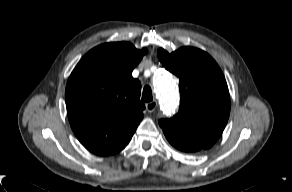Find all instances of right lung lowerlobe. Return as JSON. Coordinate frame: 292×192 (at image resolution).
<instances>
[{
  "instance_id": "1",
  "label": "right lung lower lobe",
  "mask_w": 292,
  "mask_h": 192,
  "mask_svg": "<svg viewBox=\"0 0 292 192\" xmlns=\"http://www.w3.org/2000/svg\"><path fill=\"white\" fill-rule=\"evenodd\" d=\"M128 144V143H127ZM127 144L122 145L118 148L111 149V150H99V151H92V153L100 156H108V155H113L119 151H121Z\"/></svg>"
}]
</instances>
